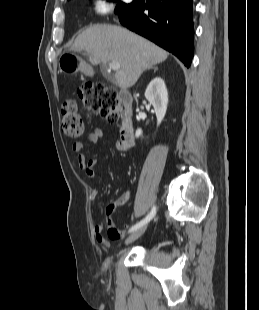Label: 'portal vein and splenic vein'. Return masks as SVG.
Segmentation results:
<instances>
[{
  "label": "portal vein and splenic vein",
  "mask_w": 259,
  "mask_h": 310,
  "mask_svg": "<svg viewBox=\"0 0 259 310\" xmlns=\"http://www.w3.org/2000/svg\"><path fill=\"white\" fill-rule=\"evenodd\" d=\"M109 67L114 71H118L120 69V63L117 61H111Z\"/></svg>",
  "instance_id": "18ae733b"
}]
</instances>
